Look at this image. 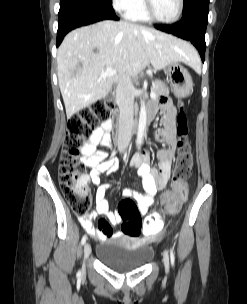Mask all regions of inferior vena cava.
Here are the masks:
<instances>
[{"instance_id": "obj_1", "label": "inferior vena cava", "mask_w": 247, "mask_h": 304, "mask_svg": "<svg viewBox=\"0 0 247 304\" xmlns=\"http://www.w3.org/2000/svg\"><path fill=\"white\" fill-rule=\"evenodd\" d=\"M116 102L119 107L118 149L122 153L129 146L132 137L134 112V87L129 75H119L116 87Z\"/></svg>"}]
</instances>
